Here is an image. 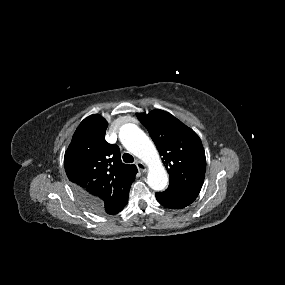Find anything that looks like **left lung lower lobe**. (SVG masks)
<instances>
[{"label": "left lung lower lobe", "mask_w": 285, "mask_h": 285, "mask_svg": "<svg viewBox=\"0 0 285 285\" xmlns=\"http://www.w3.org/2000/svg\"><path fill=\"white\" fill-rule=\"evenodd\" d=\"M200 191L184 188L176 185H169L164 192H157L158 202L171 209H181L190 205L198 196Z\"/></svg>", "instance_id": "1"}]
</instances>
